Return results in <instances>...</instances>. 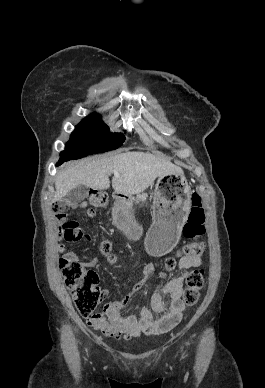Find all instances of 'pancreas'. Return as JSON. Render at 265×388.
<instances>
[{"mask_svg":"<svg viewBox=\"0 0 265 388\" xmlns=\"http://www.w3.org/2000/svg\"><path fill=\"white\" fill-rule=\"evenodd\" d=\"M147 198V194H137L136 204H139V202H146Z\"/></svg>","mask_w":265,"mask_h":388,"instance_id":"cf45deb5","label":"pancreas"}]
</instances>
